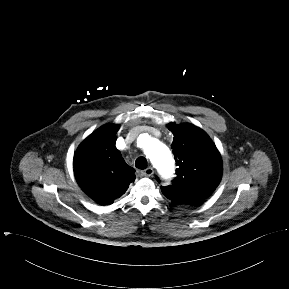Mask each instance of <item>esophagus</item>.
Instances as JSON below:
<instances>
[{"label": "esophagus", "mask_w": 289, "mask_h": 289, "mask_svg": "<svg viewBox=\"0 0 289 289\" xmlns=\"http://www.w3.org/2000/svg\"><path fill=\"white\" fill-rule=\"evenodd\" d=\"M142 176L150 177L154 174V170L152 167H148L141 171Z\"/></svg>", "instance_id": "1"}]
</instances>
